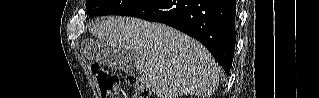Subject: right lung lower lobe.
<instances>
[{"mask_svg":"<svg viewBox=\"0 0 319 98\" xmlns=\"http://www.w3.org/2000/svg\"><path fill=\"white\" fill-rule=\"evenodd\" d=\"M174 27L199 40L229 74L235 50V0H146L121 14Z\"/></svg>","mask_w":319,"mask_h":98,"instance_id":"98d812e1","label":"right lung lower lobe"}]
</instances>
